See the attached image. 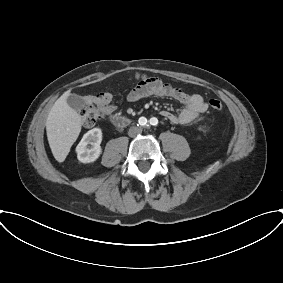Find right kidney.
<instances>
[{
	"label": "right kidney",
	"instance_id": "right-kidney-1",
	"mask_svg": "<svg viewBox=\"0 0 283 283\" xmlns=\"http://www.w3.org/2000/svg\"><path fill=\"white\" fill-rule=\"evenodd\" d=\"M102 130L93 128L84 134L83 138L76 147L77 158L82 163L96 161L102 153ZM91 145V146H89Z\"/></svg>",
	"mask_w": 283,
	"mask_h": 283
}]
</instances>
